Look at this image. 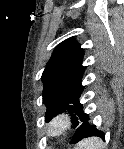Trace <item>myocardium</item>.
Here are the masks:
<instances>
[{"label":"myocardium","mask_w":124,"mask_h":149,"mask_svg":"<svg viewBox=\"0 0 124 149\" xmlns=\"http://www.w3.org/2000/svg\"><path fill=\"white\" fill-rule=\"evenodd\" d=\"M78 122L77 111L72 108H62L47 120L45 134L51 140H59L69 134Z\"/></svg>","instance_id":"f54148a6"}]
</instances>
